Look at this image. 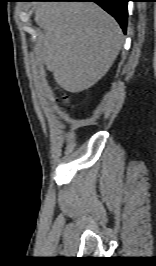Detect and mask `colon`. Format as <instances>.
<instances>
[{"label":"colon","instance_id":"1","mask_svg":"<svg viewBox=\"0 0 156 266\" xmlns=\"http://www.w3.org/2000/svg\"><path fill=\"white\" fill-rule=\"evenodd\" d=\"M61 101H62L63 103L68 102V97H67V96H63V97L61 98Z\"/></svg>","mask_w":156,"mask_h":266}]
</instances>
